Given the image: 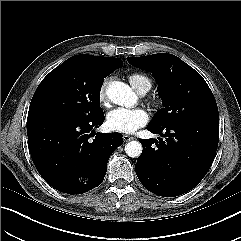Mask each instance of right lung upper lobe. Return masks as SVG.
<instances>
[{"label":"right lung upper lobe","instance_id":"right-lung-upper-lobe-1","mask_svg":"<svg viewBox=\"0 0 241 241\" xmlns=\"http://www.w3.org/2000/svg\"><path fill=\"white\" fill-rule=\"evenodd\" d=\"M82 69L101 74H111L115 69L121 67L123 62L118 58L101 57L88 54H80L71 57Z\"/></svg>","mask_w":241,"mask_h":241}]
</instances>
